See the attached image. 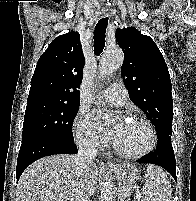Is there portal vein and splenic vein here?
<instances>
[{
  "instance_id": "1",
  "label": "portal vein and splenic vein",
  "mask_w": 196,
  "mask_h": 201,
  "mask_svg": "<svg viewBox=\"0 0 196 201\" xmlns=\"http://www.w3.org/2000/svg\"><path fill=\"white\" fill-rule=\"evenodd\" d=\"M130 190H131V187H123V188L121 189V191H124V192L130 191ZM137 196H138V197H141V193H138Z\"/></svg>"
}]
</instances>
